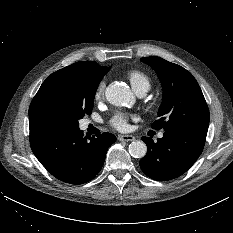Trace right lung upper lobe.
<instances>
[{"instance_id": "right-lung-upper-lobe-1", "label": "right lung upper lobe", "mask_w": 233, "mask_h": 233, "mask_svg": "<svg viewBox=\"0 0 233 233\" xmlns=\"http://www.w3.org/2000/svg\"><path fill=\"white\" fill-rule=\"evenodd\" d=\"M63 70L84 71V72H89L95 75L104 76L108 72L109 68L100 66L96 62L83 61V62H77L70 66H67L63 68ZM37 125L38 124L36 122H34L32 119L29 118L30 127H34Z\"/></svg>"}]
</instances>
